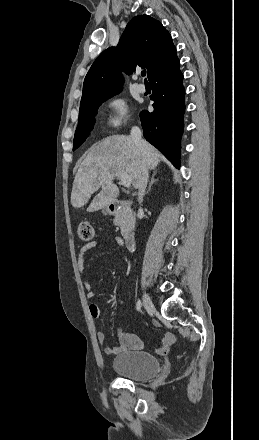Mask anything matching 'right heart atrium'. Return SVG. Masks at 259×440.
Segmentation results:
<instances>
[{
  "instance_id": "obj_1",
  "label": "right heart atrium",
  "mask_w": 259,
  "mask_h": 440,
  "mask_svg": "<svg viewBox=\"0 0 259 440\" xmlns=\"http://www.w3.org/2000/svg\"><path fill=\"white\" fill-rule=\"evenodd\" d=\"M108 116L106 124L109 128L120 129L129 120L130 110L125 99L119 96L112 97L107 103Z\"/></svg>"
}]
</instances>
